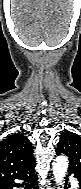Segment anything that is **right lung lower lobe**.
<instances>
[{"label": "right lung lower lobe", "mask_w": 81, "mask_h": 189, "mask_svg": "<svg viewBox=\"0 0 81 189\" xmlns=\"http://www.w3.org/2000/svg\"><path fill=\"white\" fill-rule=\"evenodd\" d=\"M35 165L29 170L17 175L9 181L0 183V189H12L13 187H24V189H38L37 175L34 170ZM15 180H20L23 184H17Z\"/></svg>", "instance_id": "1"}]
</instances>
